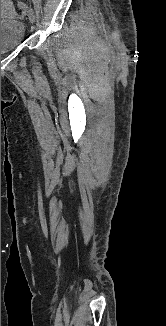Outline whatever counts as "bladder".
<instances>
[{
    "instance_id": "bladder-1",
    "label": "bladder",
    "mask_w": 166,
    "mask_h": 326,
    "mask_svg": "<svg viewBox=\"0 0 166 326\" xmlns=\"http://www.w3.org/2000/svg\"><path fill=\"white\" fill-rule=\"evenodd\" d=\"M24 36L25 27L18 18H1V55L17 48Z\"/></svg>"
}]
</instances>
